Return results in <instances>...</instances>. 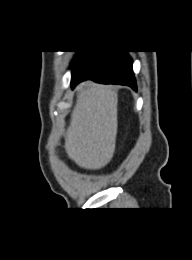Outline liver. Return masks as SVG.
Wrapping results in <instances>:
<instances>
[{
    "instance_id": "liver-1",
    "label": "liver",
    "mask_w": 192,
    "mask_h": 260,
    "mask_svg": "<svg viewBox=\"0 0 192 260\" xmlns=\"http://www.w3.org/2000/svg\"><path fill=\"white\" fill-rule=\"evenodd\" d=\"M117 103V94L110 86L92 82L78 85L65 149L81 168L97 170L111 161L117 135Z\"/></svg>"
}]
</instances>
